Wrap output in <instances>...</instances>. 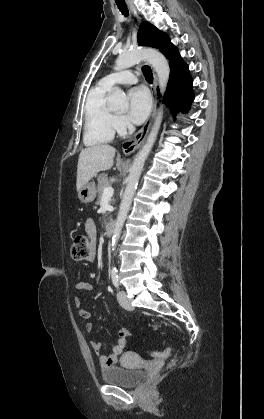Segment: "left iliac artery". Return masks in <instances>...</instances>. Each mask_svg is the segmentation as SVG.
Masks as SVG:
<instances>
[{"mask_svg":"<svg viewBox=\"0 0 264 419\" xmlns=\"http://www.w3.org/2000/svg\"><path fill=\"white\" fill-rule=\"evenodd\" d=\"M111 278H112V282H113L114 286L116 288H119V280H118V275H117V269L115 267L112 268Z\"/></svg>","mask_w":264,"mask_h":419,"instance_id":"obj_1","label":"left iliac artery"}]
</instances>
